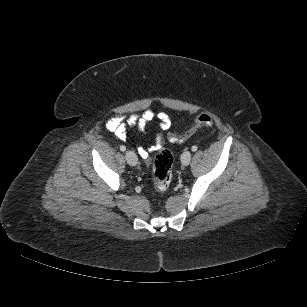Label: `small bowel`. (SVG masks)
I'll return each instance as SVG.
<instances>
[{
	"instance_id": "1",
	"label": "small bowel",
	"mask_w": 307,
	"mask_h": 307,
	"mask_svg": "<svg viewBox=\"0 0 307 307\" xmlns=\"http://www.w3.org/2000/svg\"><path fill=\"white\" fill-rule=\"evenodd\" d=\"M154 115L152 111L146 110L142 115H132L127 119H124L121 116H115L110 118L106 123V128L113 132L118 138L124 140L126 139V132L128 127L138 126L139 128H144L147 123L153 119ZM159 118V127L163 130H166L170 127V120L167 114L160 112L158 114ZM162 145V138L157 136L155 144L150 149L139 148V155L147 159L150 155V152L158 150Z\"/></svg>"
}]
</instances>
